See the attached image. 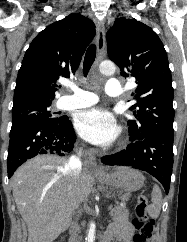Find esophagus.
Wrapping results in <instances>:
<instances>
[{"label":"esophagus","mask_w":187,"mask_h":242,"mask_svg":"<svg viewBox=\"0 0 187 242\" xmlns=\"http://www.w3.org/2000/svg\"><path fill=\"white\" fill-rule=\"evenodd\" d=\"M96 44H97L98 57L101 58L105 48V28L102 23L97 24ZM88 164L94 172L103 171L101 166L98 164L96 157L92 154V152H88Z\"/></svg>","instance_id":"esophagus-1"}]
</instances>
